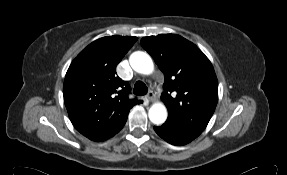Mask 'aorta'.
I'll list each match as a JSON object with an SVG mask.
<instances>
[{
  "label": "aorta",
  "instance_id": "obj_1",
  "mask_svg": "<svg viewBox=\"0 0 287 175\" xmlns=\"http://www.w3.org/2000/svg\"><path fill=\"white\" fill-rule=\"evenodd\" d=\"M130 65L134 71L140 74L149 75L154 70V64L151 57L142 51H136L131 54ZM149 119L154 124H162L167 119V109L163 103H154L148 112Z\"/></svg>",
  "mask_w": 287,
  "mask_h": 175
}]
</instances>
